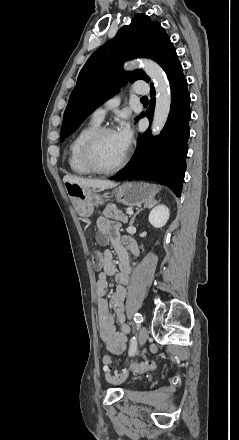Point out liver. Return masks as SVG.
I'll use <instances>...</instances> for the list:
<instances>
[{"label":"liver","mask_w":239,"mask_h":440,"mask_svg":"<svg viewBox=\"0 0 239 440\" xmlns=\"http://www.w3.org/2000/svg\"><path fill=\"white\" fill-rule=\"evenodd\" d=\"M63 182L69 184H78L80 188H98V190H110L116 188L117 184L108 182V180H88V178H79V176H64Z\"/></svg>","instance_id":"1"}]
</instances>
